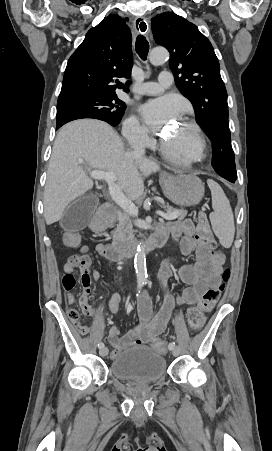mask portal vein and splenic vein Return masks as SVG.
Instances as JSON below:
<instances>
[{"label":"portal vein and splenic vein","mask_w":272,"mask_h":451,"mask_svg":"<svg viewBox=\"0 0 272 451\" xmlns=\"http://www.w3.org/2000/svg\"><path fill=\"white\" fill-rule=\"evenodd\" d=\"M90 178L93 180H106L107 184H109L110 188V196L124 212L130 214V216H138V208H136L135 204L128 200L126 196H124L123 192H121L120 188L114 184L116 182V174L114 172H102V170H92L89 174ZM158 216L164 218V220H176L178 218V212H174V214H164V212H156Z\"/></svg>","instance_id":"portal-vein-and-splenic-vein-1"}]
</instances>
